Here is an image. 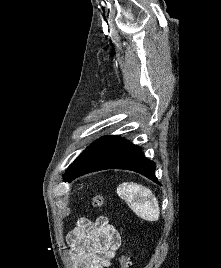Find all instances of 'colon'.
<instances>
[{
    "label": "colon",
    "mask_w": 221,
    "mask_h": 268,
    "mask_svg": "<svg viewBox=\"0 0 221 268\" xmlns=\"http://www.w3.org/2000/svg\"><path fill=\"white\" fill-rule=\"evenodd\" d=\"M92 205L95 208H102L105 206V199L102 195H95L92 198ZM120 268H132V260L127 253L121 255L119 259Z\"/></svg>",
    "instance_id": "obj_1"
}]
</instances>
